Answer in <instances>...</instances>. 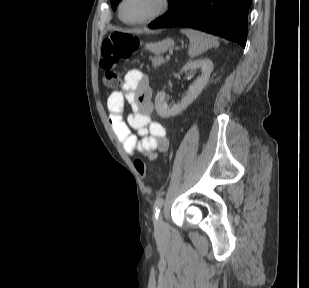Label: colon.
Masks as SVG:
<instances>
[{
  "mask_svg": "<svg viewBox=\"0 0 309 288\" xmlns=\"http://www.w3.org/2000/svg\"><path fill=\"white\" fill-rule=\"evenodd\" d=\"M138 39L128 32H113L101 46L100 67L103 71L102 84L113 88L119 85L117 68L121 60L129 58L138 49ZM136 170L141 176L146 175L147 165L137 159L134 162Z\"/></svg>",
  "mask_w": 309,
  "mask_h": 288,
  "instance_id": "1",
  "label": "colon"
}]
</instances>
